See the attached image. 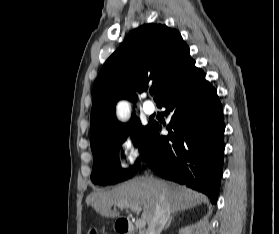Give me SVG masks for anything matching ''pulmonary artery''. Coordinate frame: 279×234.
Masks as SVG:
<instances>
[{"label":"pulmonary artery","mask_w":279,"mask_h":234,"mask_svg":"<svg viewBox=\"0 0 279 234\" xmlns=\"http://www.w3.org/2000/svg\"><path fill=\"white\" fill-rule=\"evenodd\" d=\"M143 110L147 115H152L155 112V106L151 101L146 100L143 104Z\"/></svg>","instance_id":"1"}]
</instances>
